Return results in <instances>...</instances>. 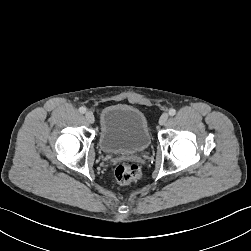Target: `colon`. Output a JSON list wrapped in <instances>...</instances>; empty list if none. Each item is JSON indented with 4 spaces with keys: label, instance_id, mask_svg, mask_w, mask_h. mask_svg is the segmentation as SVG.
<instances>
[{
    "label": "colon",
    "instance_id": "1",
    "mask_svg": "<svg viewBox=\"0 0 251 251\" xmlns=\"http://www.w3.org/2000/svg\"><path fill=\"white\" fill-rule=\"evenodd\" d=\"M115 178L121 184L136 182L141 177V169L137 164L122 163L116 166Z\"/></svg>",
    "mask_w": 251,
    "mask_h": 251
}]
</instances>
